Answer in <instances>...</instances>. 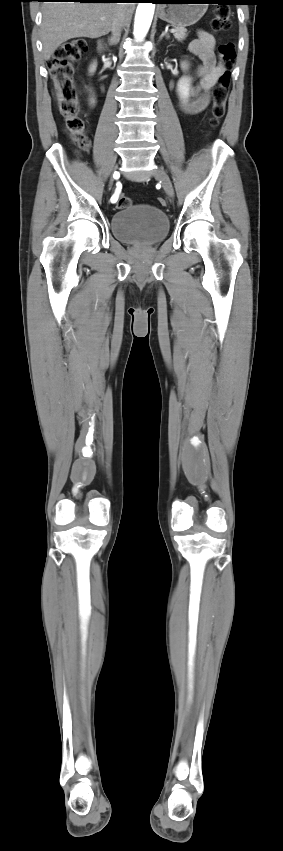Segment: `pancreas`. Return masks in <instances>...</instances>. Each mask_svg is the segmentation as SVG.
Listing matches in <instances>:
<instances>
[{
	"label": "pancreas",
	"mask_w": 283,
	"mask_h": 851,
	"mask_svg": "<svg viewBox=\"0 0 283 851\" xmlns=\"http://www.w3.org/2000/svg\"><path fill=\"white\" fill-rule=\"evenodd\" d=\"M173 35L178 41H183L187 36V30L184 27L174 26Z\"/></svg>",
	"instance_id": "obj_1"
}]
</instances>
